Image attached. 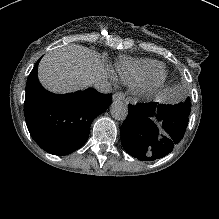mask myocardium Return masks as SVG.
Here are the masks:
<instances>
[{"mask_svg": "<svg viewBox=\"0 0 219 219\" xmlns=\"http://www.w3.org/2000/svg\"><path fill=\"white\" fill-rule=\"evenodd\" d=\"M167 81V71L164 67L153 72L144 82L135 86L134 95L139 99H149L155 96Z\"/></svg>", "mask_w": 219, "mask_h": 219, "instance_id": "f54148a6", "label": "myocardium"}]
</instances>
